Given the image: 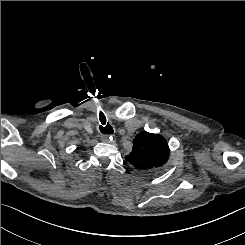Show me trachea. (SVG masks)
<instances>
[{"mask_svg": "<svg viewBox=\"0 0 245 245\" xmlns=\"http://www.w3.org/2000/svg\"><path fill=\"white\" fill-rule=\"evenodd\" d=\"M99 119L101 122V125L99 126L100 132L104 135L112 134L114 132V130H113L112 126L109 123H107L106 117L104 116V114L102 112H100V114H99Z\"/></svg>", "mask_w": 245, "mask_h": 245, "instance_id": "trachea-1", "label": "trachea"}]
</instances>
